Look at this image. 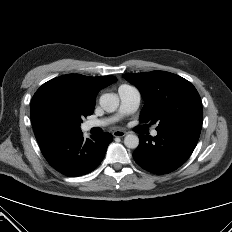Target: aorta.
I'll list each match as a JSON object with an SVG mask.
<instances>
[{"instance_id": "1", "label": "aorta", "mask_w": 232, "mask_h": 232, "mask_svg": "<svg viewBox=\"0 0 232 232\" xmlns=\"http://www.w3.org/2000/svg\"><path fill=\"white\" fill-rule=\"evenodd\" d=\"M100 106L108 113L116 111L119 106V98L116 94L106 93L100 97ZM124 144L127 148L135 149L139 145V138L137 135L128 134L124 138Z\"/></svg>"}]
</instances>
